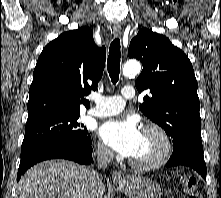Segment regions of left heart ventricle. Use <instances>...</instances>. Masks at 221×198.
I'll use <instances>...</instances> for the list:
<instances>
[{
	"label": "left heart ventricle",
	"mask_w": 221,
	"mask_h": 198,
	"mask_svg": "<svg viewBox=\"0 0 221 198\" xmlns=\"http://www.w3.org/2000/svg\"><path fill=\"white\" fill-rule=\"evenodd\" d=\"M160 149V141L155 135L142 132L140 142L130 158L139 162L149 161L159 153Z\"/></svg>",
	"instance_id": "obj_1"
}]
</instances>
